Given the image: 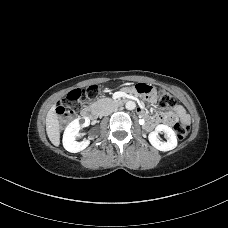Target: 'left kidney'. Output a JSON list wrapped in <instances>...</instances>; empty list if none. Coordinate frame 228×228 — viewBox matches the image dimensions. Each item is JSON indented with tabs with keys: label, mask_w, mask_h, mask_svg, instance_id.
Instances as JSON below:
<instances>
[{
	"label": "left kidney",
	"mask_w": 228,
	"mask_h": 228,
	"mask_svg": "<svg viewBox=\"0 0 228 228\" xmlns=\"http://www.w3.org/2000/svg\"><path fill=\"white\" fill-rule=\"evenodd\" d=\"M164 132L167 142H163L159 139L158 134ZM149 142L153 147L160 151H169L177 146V137L175 132L167 125L160 124L156 126L155 130L149 133Z\"/></svg>",
	"instance_id": "5707ae66"
}]
</instances>
